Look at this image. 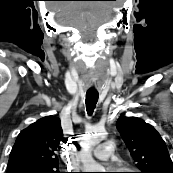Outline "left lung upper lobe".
<instances>
[{
    "label": "left lung upper lobe",
    "instance_id": "1",
    "mask_svg": "<svg viewBox=\"0 0 173 173\" xmlns=\"http://www.w3.org/2000/svg\"><path fill=\"white\" fill-rule=\"evenodd\" d=\"M116 127L140 173H173L166 143L153 126L137 117H120Z\"/></svg>",
    "mask_w": 173,
    "mask_h": 173
}]
</instances>
